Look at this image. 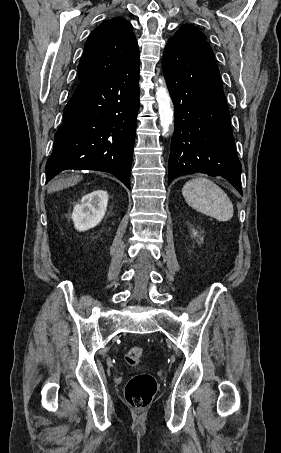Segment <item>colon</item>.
Masks as SVG:
<instances>
[{"mask_svg":"<svg viewBox=\"0 0 281 453\" xmlns=\"http://www.w3.org/2000/svg\"><path fill=\"white\" fill-rule=\"evenodd\" d=\"M144 359V350L140 346H133L125 353V361L131 366L140 365ZM156 381L153 375L135 373L129 376L125 387V399L130 407L136 410L147 408L155 393Z\"/></svg>","mask_w":281,"mask_h":453,"instance_id":"colon-1","label":"colon"}]
</instances>
